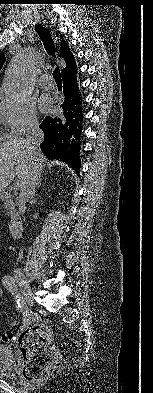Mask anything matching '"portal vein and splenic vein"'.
Returning <instances> with one entry per match:
<instances>
[{
  "label": "portal vein and splenic vein",
  "mask_w": 153,
  "mask_h": 393,
  "mask_svg": "<svg viewBox=\"0 0 153 393\" xmlns=\"http://www.w3.org/2000/svg\"><path fill=\"white\" fill-rule=\"evenodd\" d=\"M20 186H21L20 183H16V184L14 185V188H15V189H18Z\"/></svg>",
  "instance_id": "1"
}]
</instances>
